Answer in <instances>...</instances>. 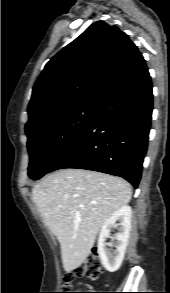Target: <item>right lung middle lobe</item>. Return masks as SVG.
Here are the masks:
<instances>
[{"instance_id":"1","label":"right lung middle lobe","mask_w":170,"mask_h":293,"mask_svg":"<svg viewBox=\"0 0 170 293\" xmlns=\"http://www.w3.org/2000/svg\"><path fill=\"white\" fill-rule=\"evenodd\" d=\"M98 109L95 104L77 105L25 130L31 179L48 173L54 161L87 130Z\"/></svg>"}]
</instances>
